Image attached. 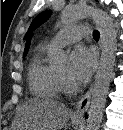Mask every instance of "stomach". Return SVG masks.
I'll return each instance as SVG.
<instances>
[{
  "label": "stomach",
  "instance_id": "stomach-1",
  "mask_svg": "<svg viewBox=\"0 0 123 130\" xmlns=\"http://www.w3.org/2000/svg\"><path fill=\"white\" fill-rule=\"evenodd\" d=\"M73 124H78V121H76V120H73Z\"/></svg>",
  "mask_w": 123,
  "mask_h": 130
}]
</instances>
